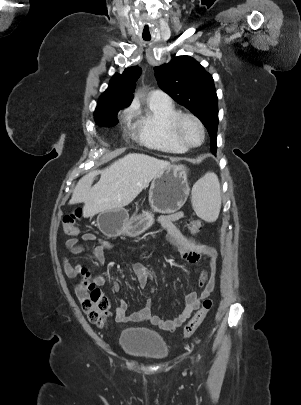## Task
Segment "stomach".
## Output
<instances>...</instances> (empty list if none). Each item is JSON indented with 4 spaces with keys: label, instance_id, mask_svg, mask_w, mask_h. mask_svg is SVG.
Segmentation results:
<instances>
[{
    "label": "stomach",
    "instance_id": "obj_1",
    "mask_svg": "<svg viewBox=\"0 0 301 405\" xmlns=\"http://www.w3.org/2000/svg\"><path fill=\"white\" fill-rule=\"evenodd\" d=\"M190 187L188 168L185 164H169L152 181L149 202L154 212L170 214L178 211L186 202ZM98 224L108 234L136 237L153 224L148 211L129 218L123 209L109 210L98 216Z\"/></svg>",
    "mask_w": 301,
    "mask_h": 405
}]
</instances>
